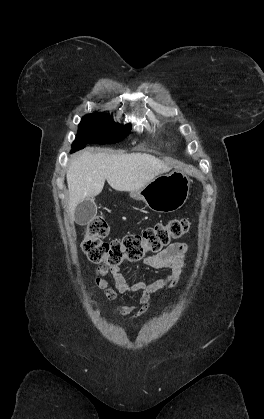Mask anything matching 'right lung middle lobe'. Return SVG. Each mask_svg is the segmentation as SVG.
Here are the masks:
<instances>
[{
	"mask_svg": "<svg viewBox=\"0 0 264 419\" xmlns=\"http://www.w3.org/2000/svg\"><path fill=\"white\" fill-rule=\"evenodd\" d=\"M125 128L127 130H125ZM130 124L121 128L109 116L100 113L83 117L71 152L85 147L86 144H113L123 140L129 133Z\"/></svg>",
	"mask_w": 264,
	"mask_h": 419,
	"instance_id": "right-lung-middle-lobe-1",
	"label": "right lung middle lobe"
}]
</instances>
